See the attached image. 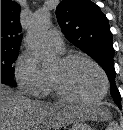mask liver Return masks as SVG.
Wrapping results in <instances>:
<instances>
[{
    "mask_svg": "<svg viewBox=\"0 0 123 130\" xmlns=\"http://www.w3.org/2000/svg\"><path fill=\"white\" fill-rule=\"evenodd\" d=\"M97 107L53 104L31 100L21 92L1 84V130H59L63 126L85 120H96Z\"/></svg>",
    "mask_w": 123,
    "mask_h": 130,
    "instance_id": "1",
    "label": "liver"
}]
</instances>
